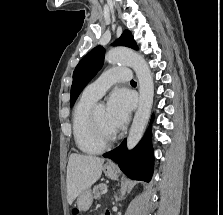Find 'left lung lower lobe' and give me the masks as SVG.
<instances>
[{
    "label": "left lung lower lobe",
    "mask_w": 223,
    "mask_h": 215,
    "mask_svg": "<svg viewBox=\"0 0 223 215\" xmlns=\"http://www.w3.org/2000/svg\"><path fill=\"white\" fill-rule=\"evenodd\" d=\"M103 156L118 163L120 169L130 178L149 182L153 173L150 128L134 150L127 151L125 139L119 147L105 153Z\"/></svg>",
    "instance_id": "left-lung-lower-lobe-1"
}]
</instances>
